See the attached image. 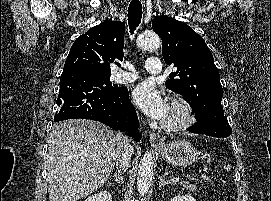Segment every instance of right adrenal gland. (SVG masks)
Listing matches in <instances>:
<instances>
[{
	"label": "right adrenal gland",
	"instance_id": "2a0ac1e0",
	"mask_svg": "<svg viewBox=\"0 0 271 201\" xmlns=\"http://www.w3.org/2000/svg\"><path fill=\"white\" fill-rule=\"evenodd\" d=\"M109 176L113 178L116 183H120L123 180L122 175L119 173L110 174Z\"/></svg>",
	"mask_w": 271,
	"mask_h": 201
}]
</instances>
